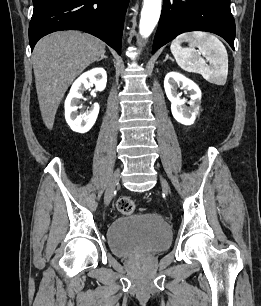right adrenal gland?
<instances>
[{
    "label": "right adrenal gland",
    "mask_w": 261,
    "mask_h": 306,
    "mask_svg": "<svg viewBox=\"0 0 261 306\" xmlns=\"http://www.w3.org/2000/svg\"><path fill=\"white\" fill-rule=\"evenodd\" d=\"M103 59H107V56L106 55H103L98 61H101Z\"/></svg>",
    "instance_id": "1"
}]
</instances>
